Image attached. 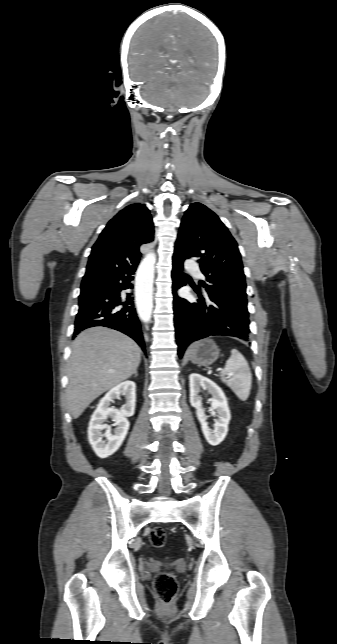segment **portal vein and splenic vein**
<instances>
[{"instance_id":"obj_1","label":"portal vein and splenic vein","mask_w":337,"mask_h":644,"mask_svg":"<svg viewBox=\"0 0 337 644\" xmlns=\"http://www.w3.org/2000/svg\"><path fill=\"white\" fill-rule=\"evenodd\" d=\"M228 376L230 377V376H232V375H231V374H228Z\"/></svg>"}]
</instances>
